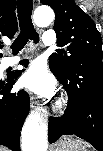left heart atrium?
Instances as JSON below:
<instances>
[{
  "label": "left heart atrium",
  "mask_w": 103,
  "mask_h": 151,
  "mask_svg": "<svg viewBox=\"0 0 103 151\" xmlns=\"http://www.w3.org/2000/svg\"><path fill=\"white\" fill-rule=\"evenodd\" d=\"M20 84L31 93L45 96L52 91L54 80L47 72L45 65L40 61H35L21 76Z\"/></svg>",
  "instance_id": "39dd6f15"
}]
</instances>
